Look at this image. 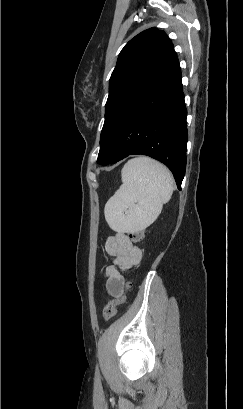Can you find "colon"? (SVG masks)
<instances>
[{
  "label": "colon",
  "mask_w": 243,
  "mask_h": 409,
  "mask_svg": "<svg viewBox=\"0 0 243 409\" xmlns=\"http://www.w3.org/2000/svg\"><path fill=\"white\" fill-rule=\"evenodd\" d=\"M130 237L134 242H141L145 238V232L143 230H135L130 232ZM126 295L118 296L109 301L103 308V318L105 321H110L116 314L117 308L124 304Z\"/></svg>",
  "instance_id": "5ec220e1"
}]
</instances>
